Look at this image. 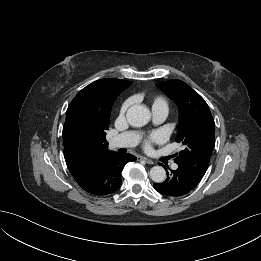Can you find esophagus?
I'll use <instances>...</instances> for the list:
<instances>
[{"label":"esophagus","mask_w":261,"mask_h":261,"mask_svg":"<svg viewBox=\"0 0 261 261\" xmlns=\"http://www.w3.org/2000/svg\"><path fill=\"white\" fill-rule=\"evenodd\" d=\"M142 160H144L147 164H154L155 162L147 157H141Z\"/></svg>","instance_id":"obj_1"}]
</instances>
